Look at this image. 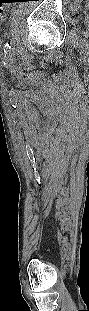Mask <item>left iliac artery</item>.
I'll list each match as a JSON object with an SVG mask.
<instances>
[{
  "mask_svg": "<svg viewBox=\"0 0 89 311\" xmlns=\"http://www.w3.org/2000/svg\"><path fill=\"white\" fill-rule=\"evenodd\" d=\"M5 47H6V49H10L11 47L9 46V43L7 42L5 45H4Z\"/></svg>",
  "mask_w": 89,
  "mask_h": 311,
  "instance_id": "obj_1",
  "label": "left iliac artery"
}]
</instances>
